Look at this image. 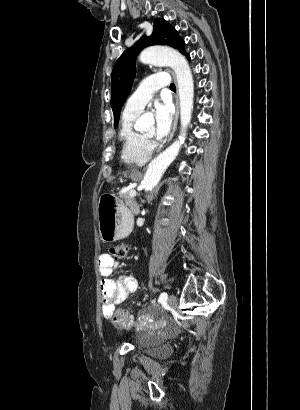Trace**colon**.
<instances>
[{
  "label": "colon",
  "mask_w": 300,
  "mask_h": 410,
  "mask_svg": "<svg viewBox=\"0 0 300 410\" xmlns=\"http://www.w3.org/2000/svg\"><path fill=\"white\" fill-rule=\"evenodd\" d=\"M128 252V246L123 244L113 245L109 249L110 255L118 260L125 259ZM112 323L117 327L126 328L134 324V318L125 310H116L112 314Z\"/></svg>",
  "instance_id": "1"
}]
</instances>
